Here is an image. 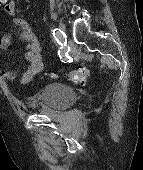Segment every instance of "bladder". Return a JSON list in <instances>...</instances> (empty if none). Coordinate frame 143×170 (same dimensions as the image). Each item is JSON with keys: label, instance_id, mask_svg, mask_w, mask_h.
<instances>
[{"label": "bladder", "instance_id": "obj_1", "mask_svg": "<svg viewBox=\"0 0 143 170\" xmlns=\"http://www.w3.org/2000/svg\"><path fill=\"white\" fill-rule=\"evenodd\" d=\"M76 99L73 88L60 83H50L45 85L39 93L36 107L44 112H60L70 108Z\"/></svg>", "mask_w": 143, "mask_h": 170}]
</instances>
